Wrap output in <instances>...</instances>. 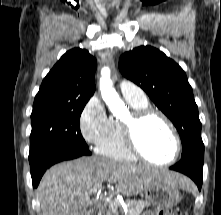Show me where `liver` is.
Instances as JSON below:
<instances>
[{"mask_svg":"<svg viewBox=\"0 0 221 215\" xmlns=\"http://www.w3.org/2000/svg\"><path fill=\"white\" fill-rule=\"evenodd\" d=\"M104 182L116 183L115 192L125 196L137 195L155 182L190 185L175 172L100 157L79 158L54 165L42 177L37 189L42 215H87L90 195Z\"/></svg>","mask_w":221,"mask_h":215,"instance_id":"6515ba94","label":"liver"}]
</instances>
